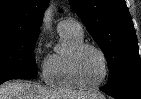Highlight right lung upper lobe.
Segmentation results:
<instances>
[{
    "label": "right lung upper lobe",
    "instance_id": "cb5924a9",
    "mask_svg": "<svg viewBox=\"0 0 141 99\" xmlns=\"http://www.w3.org/2000/svg\"><path fill=\"white\" fill-rule=\"evenodd\" d=\"M47 0H0V32H40Z\"/></svg>",
    "mask_w": 141,
    "mask_h": 99
}]
</instances>
